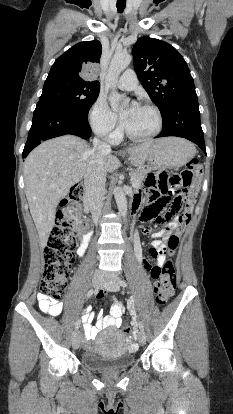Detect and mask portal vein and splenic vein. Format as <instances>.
<instances>
[{
	"instance_id": "portal-vein-and-splenic-vein-1",
	"label": "portal vein and splenic vein",
	"mask_w": 233,
	"mask_h": 414,
	"mask_svg": "<svg viewBox=\"0 0 233 414\" xmlns=\"http://www.w3.org/2000/svg\"><path fill=\"white\" fill-rule=\"evenodd\" d=\"M131 180H132V179H131ZM131 184H132V186H135V185H134V183H131Z\"/></svg>"
}]
</instances>
